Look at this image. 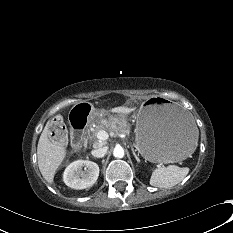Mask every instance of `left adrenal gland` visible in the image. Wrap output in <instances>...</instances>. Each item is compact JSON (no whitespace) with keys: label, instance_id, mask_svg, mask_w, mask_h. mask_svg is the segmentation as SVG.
<instances>
[{"label":"left adrenal gland","instance_id":"left-adrenal-gland-1","mask_svg":"<svg viewBox=\"0 0 233 233\" xmlns=\"http://www.w3.org/2000/svg\"><path fill=\"white\" fill-rule=\"evenodd\" d=\"M132 151H133V155H134L135 159L137 160V162H140V160H139L138 156L136 155L134 149H132Z\"/></svg>","mask_w":233,"mask_h":233}]
</instances>
